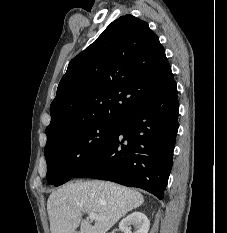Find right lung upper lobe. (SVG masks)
<instances>
[{
  "mask_svg": "<svg viewBox=\"0 0 227 233\" xmlns=\"http://www.w3.org/2000/svg\"><path fill=\"white\" fill-rule=\"evenodd\" d=\"M173 82L158 36L145 21L122 16L70 61L50 105L47 141L90 122L119 121Z\"/></svg>",
  "mask_w": 227,
  "mask_h": 233,
  "instance_id": "cb5924a9",
  "label": "right lung upper lobe"
}]
</instances>
